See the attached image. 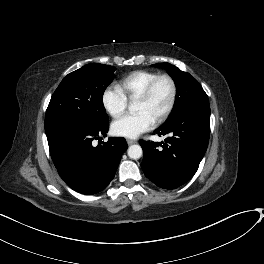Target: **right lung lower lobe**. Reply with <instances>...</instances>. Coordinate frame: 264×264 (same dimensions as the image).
Returning <instances> with one entry per match:
<instances>
[{
  "mask_svg": "<svg viewBox=\"0 0 264 264\" xmlns=\"http://www.w3.org/2000/svg\"><path fill=\"white\" fill-rule=\"evenodd\" d=\"M109 121L97 127L67 125L46 131L53 163L65 183L76 192L90 195L105 189L114 178L123 152L128 148L122 137L92 145L104 137Z\"/></svg>",
  "mask_w": 264,
  "mask_h": 264,
  "instance_id": "right-lung-lower-lobe-1",
  "label": "right lung lower lobe"
}]
</instances>
